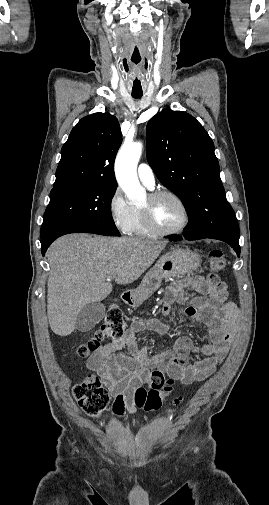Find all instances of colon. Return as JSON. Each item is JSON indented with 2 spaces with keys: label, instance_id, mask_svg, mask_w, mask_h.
I'll return each instance as SVG.
<instances>
[{
  "label": "colon",
  "instance_id": "obj_1",
  "mask_svg": "<svg viewBox=\"0 0 269 505\" xmlns=\"http://www.w3.org/2000/svg\"><path fill=\"white\" fill-rule=\"evenodd\" d=\"M208 265L213 272H219L226 266V257L221 250L214 249L209 253ZM126 324L121 309L112 304L109 306L106 317L94 337L78 348L81 356H87L98 350L100 343L107 339H116L124 335ZM145 384L148 389L140 386L134 394V403L137 407L147 411L157 410L162 399L172 391L173 380L159 369L149 372ZM74 397L79 406L90 416H99L108 404L109 398L101 381L97 377H88L75 386ZM181 398L175 399L179 404Z\"/></svg>",
  "mask_w": 269,
  "mask_h": 505
}]
</instances>
